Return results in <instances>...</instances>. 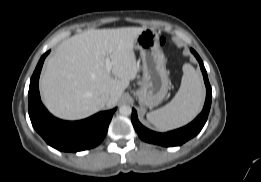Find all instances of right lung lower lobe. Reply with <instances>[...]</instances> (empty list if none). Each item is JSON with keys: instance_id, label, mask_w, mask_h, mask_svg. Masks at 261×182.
<instances>
[{"instance_id": "98d812e1", "label": "right lung lower lobe", "mask_w": 261, "mask_h": 182, "mask_svg": "<svg viewBox=\"0 0 261 182\" xmlns=\"http://www.w3.org/2000/svg\"><path fill=\"white\" fill-rule=\"evenodd\" d=\"M39 60L29 86V116L34 129L57 150L77 152L99 145L104 139L109 123L116 110L99 112L80 121H63L51 115L40 100L38 81L44 59Z\"/></svg>"}]
</instances>
